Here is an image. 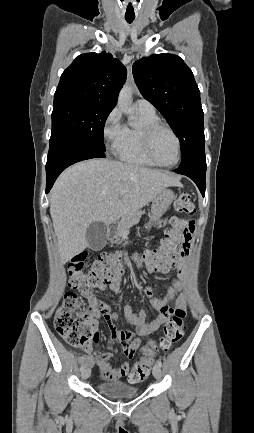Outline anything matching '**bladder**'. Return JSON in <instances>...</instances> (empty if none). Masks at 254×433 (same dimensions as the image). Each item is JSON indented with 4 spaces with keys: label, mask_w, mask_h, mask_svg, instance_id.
Returning <instances> with one entry per match:
<instances>
[{
    "label": "bladder",
    "mask_w": 254,
    "mask_h": 433,
    "mask_svg": "<svg viewBox=\"0 0 254 433\" xmlns=\"http://www.w3.org/2000/svg\"><path fill=\"white\" fill-rule=\"evenodd\" d=\"M98 391L110 398H131L139 394L138 387L124 382H100L97 384Z\"/></svg>",
    "instance_id": "obj_1"
}]
</instances>
